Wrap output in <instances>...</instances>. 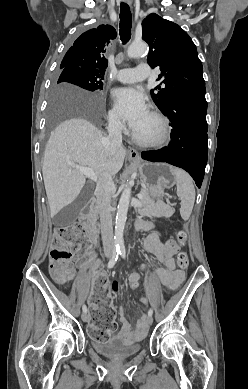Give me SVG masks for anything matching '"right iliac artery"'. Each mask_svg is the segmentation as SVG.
<instances>
[{
  "mask_svg": "<svg viewBox=\"0 0 248 389\" xmlns=\"http://www.w3.org/2000/svg\"><path fill=\"white\" fill-rule=\"evenodd\" d=\"M118 254H119V251H118V249H116V251L114 252L112 258L108 262V265H107L108 268H112L115 265V263H116V261L118 259ZM82 310H83V312L87 313L86 305H83Z\"/></svg>",
  "mask_w": 248,
  "mask_h": 389,
  "instance_id": "1",
  "label": "right iliac artery"
}]
</instances>
